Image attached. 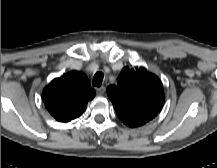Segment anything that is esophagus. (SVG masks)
I'll use <instances>...</instances> for the list:
<instances>
[{
	"instance_id": "34e87169",
	"label": "esophagus",
	"mask_w": 217,
	"mask_h": 168,
	"mask_svg": "<svg viewBox=\"0 0 217 168\" xmlns=\"http://www.w3.org/2000/svg\"><path fill=\"white\" fill-rule=\"evenodd\" d=\"M105 91H106V88L104 86H101L100 88L96 89V93L99 96L103 95L105 93Z\"/></svg>"
}]
</instances>
